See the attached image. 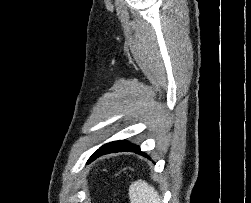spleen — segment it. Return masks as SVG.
<instances>
[{
	"mask_svg": "<svg viewBox=\"0 0 251 203\" xmlns=\"http://www.w3.org/2000/svg\"><path fill=\"white\" fill-rule=\"evenodd\" d=\"M129 197L131 203H161L158 192L143 180H137L131 184Z\"/></svg>",
	"mask_w": 251,
	"mask_h": 203,
	"instance_id": "obj_1",
	"label": "spleen"
}]
</instances>
